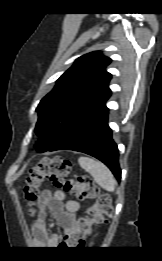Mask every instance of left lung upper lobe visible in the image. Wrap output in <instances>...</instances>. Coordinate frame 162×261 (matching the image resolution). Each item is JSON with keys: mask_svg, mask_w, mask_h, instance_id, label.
Instances as JSON below:
<instances>
[{"mask_svg": "<svg viewBox=\"0 0 162 261\" xmlns=\"http://www.w3.org/2000/svg\"><path fill=\"white\" fill-rule=\"evenodd\" d=\"M110 62L99 51L79 57L40 101L35 132L46 140L38 151L54 147L106 106L111 96V74L106 71Z\"/></svg>", "mask_w": 162, "mask_h": 261, "instance_id": "1", "label": "left lung upper lobe"}]
</instances>
